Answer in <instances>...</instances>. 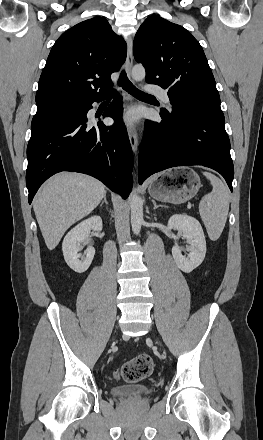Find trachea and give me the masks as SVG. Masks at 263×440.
I'll return each mask as SVG.
<instances>
[{
	"instance_id": "3493384b",
	"label": "trachea",
	"mask_w": 263,
	"mask_h": 440,
	"mask_svg": "<svg viewBox=\"0 0 263 440\" xmlns=\"http://www.w3.org/2000/svg\"><path fill=\"white\" fill-rule=\"evenodd\" d=\"M118 85L125 89L128 93L136 97H153L147 93L142 92L137 89L128 79L125 71L123 70L120 74V78L118 80Z\"/></svg>"
}]
</instances>
